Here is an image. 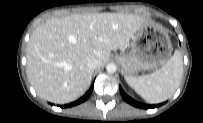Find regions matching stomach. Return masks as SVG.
Listing matches in <instances>:
<instances>
[{"label":"stomach","instance_id":"0dacf381","mask_svg":"<svg viewBox=\"0 0 203 123\" xmlns=\"http://www.w3.org/2000/svg\"><path fill=\"white\" fill-rule=\"evenodd\" d=\"M168 34L145 24L137 30L128 54L116 56L125 76H134L140 71H149L166 64L172 53Z\"/></svg>","mask_w":203,"mask_h":123}]
</instances>
